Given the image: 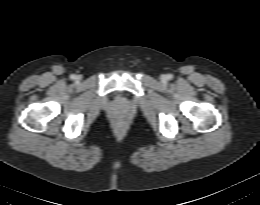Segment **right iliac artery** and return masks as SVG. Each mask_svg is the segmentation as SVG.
I'll use <instances>...</instances> for the list:
<instances>
[{"label": "right iliac artery", "mask_w": 260, "mask_h": 205, "mask_svg": "<svg viewBox=\"0 0 260 205\" xmlns=\"http://www.w3.org/2000/svg\"><path fill=\"white\" fill-rule=\"evenodd\" d=\"M70 78L74 80V79H76V75L73 74L70 76Z\"/></svg>", "instance_id": "obj_1"}]
</instances>
